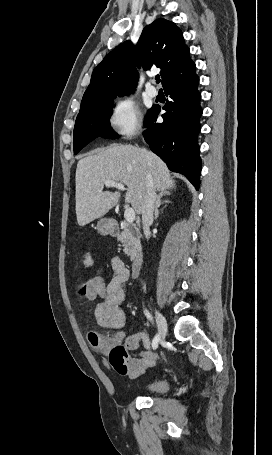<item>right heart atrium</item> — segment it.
Listing matches in <instances>:
<instances>
[{
    "instance_id": "right-heart-atrium-1",
    "label": "right heart atrium",
    "mask_w": 272,
    "mask_h": 455,
    "mask_svg": "<svg viewBox=\"0 0 272 455\" xmlns=\"http://www.w3.org/2000/svg\"><path fill=\"white\" fill-rule=\"evenodd\" d=\"M109 123L118 139H130L142 128L140 109L132 99L119 98L110 107Z\"/></svg>"
}]
</instances>
